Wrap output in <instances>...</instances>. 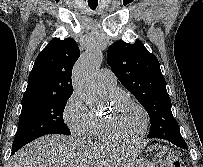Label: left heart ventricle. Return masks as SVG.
<instances>
[{
    "mask_svg": "<svg viewBox=\"0 0 203 167\" xmlns=\"http://www.w3.org/2000/svg\"><path fill=\"white\" fill-rule=\"evenodd\" d=\"M106 115L110 119L112 131L121 138H133L142 128L141 112L127 101L115 102Z\"/></svg>",
    "mask_w": 203,
    "mask_h": 167,
    "instance_id": "obj_1",
    "label": "left heart ventricle"
}]
</instances>
